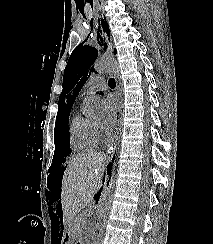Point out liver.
Listing matches in <instances>:
<instances>
[{"instance_id":"liver-1","label":"liver","mask_w":213,"mask_h":244,"mask_svg":"<svg viewBox=\"0 0 213 244\" xmlns=\"http://www.w3.org/2000/svg\"><path fill=\"white\" fill-rule=\"evenodd\" d=\"M105 160L101 152L80 154L69 162L64 172L61 203L64 223L70 233L77 212L90 202L101 186Z\"/></svg>"}]
</instances>
